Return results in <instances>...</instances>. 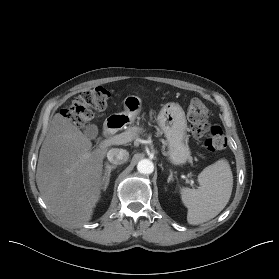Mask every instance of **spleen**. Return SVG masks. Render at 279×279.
<instances>
[{"mask_svg":"<svg viewBox=\"0 0 279 279\" xmlns=\"http://www.w3.org/2000/svg\"><path fill=\"white\" fill-rule=\"evenodd\" d=\"M197 189L181 188V200L188 209L187 221L198 225L216 217L227 205L233 188V174L226 159L207 166L198 176Z\"/></svg>","mask_w":279,"mask_h":279,"instance_id":"spleen-1","label":"spleen"}]
</instances>
